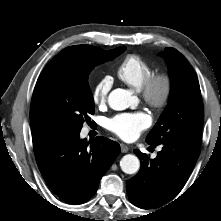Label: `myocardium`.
Wrapping results in <instances>:
<instances>
[{
    "label": "myocardium",
    "mask_w": 221,
    "mask_h": 221,
    "mask_svg": "<svg viewBox=\"0 0 221 221\" xmlns=\"http://www.w3.org/2000/svg\"><path fill=\"white\" fill-rule=\"evenodd\" d=\"M144 102L156 110L165 108L172 97L173 80L166 72L152 73L140 88Z\"/></svg>",
    "instance_id": "f54148a6"
}]
</instances>
